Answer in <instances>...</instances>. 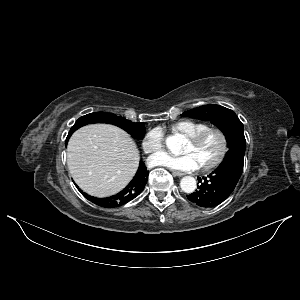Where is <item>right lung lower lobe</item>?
Here are the masks:
<instances>
[{
    "label": "right lung lower lobe",
    "mask_w": 300,
    "mask_h": 300,
    "mask_svg": "<svg viewBox=\"0 0 300 300\" xmlns=\"http://www.w3.org/2000/svg\"><path fill=\"white\" fill-rule=\"evenodd\" d=\"M148 174L149 171H147L145 164L140 162L137 173L132 181L119 193L107 198H96L84 193L83 191L80 192L85 198L98 206L105 208L119 207L133 200L143 191L148 180Z\"/></svg>",
    "instance_id": "1"
}]
</instances>
